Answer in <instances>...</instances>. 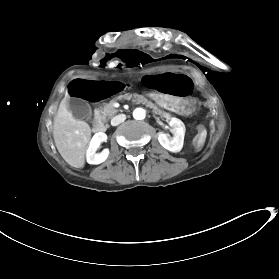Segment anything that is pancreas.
I'll use <instances>...</instances> for the list:
<instances>
[{
    "mask_svg": "<svg viewBox=\"0 0 279 279\" xmlns=\"http://www.w3.org/2000/svg\"><path fill=\"white\" fill-rule=\"evenodd\" d=\"M131 98H133V101L138 105H144L146 107H149L157 115H160L162 113V110L154 102H151L147 99H143V96L141 94L136 95L127 93L114 97L109 103H103L101 109L103 116L112 117L114 114L118 112V110L114 107V103L122 99L130 100Z\"/></svg>",
    "mask_w": 279,
    "mask_h": 279,
    "instance_id": "pancreas-1",
    "label": "pancreas"
}]
</instances>
